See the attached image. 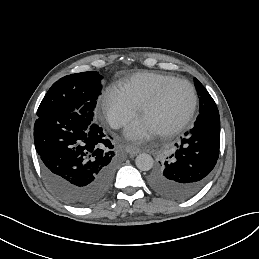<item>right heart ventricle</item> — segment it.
I'll use <instances>...</instances> for the list:
<instances>
[{
	"label": "right heart ventricle",
	"mask_w": 259,
	"mask_h": 259,
	"mask_svg": "<svg viewBox=\"0 0 259 259\" xmlns=\"http://www.w3.org/2000/svg\"><path fill=\"white\" fill-rule=\"evenodd\" d=\"M171 77L174 75L170 73L140 72L126 79L121 89L141 106L161 83Z\"/></svg>",
	"instance_id": "1"
}]
</instances>
